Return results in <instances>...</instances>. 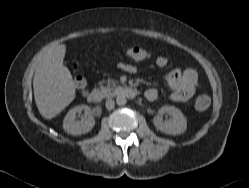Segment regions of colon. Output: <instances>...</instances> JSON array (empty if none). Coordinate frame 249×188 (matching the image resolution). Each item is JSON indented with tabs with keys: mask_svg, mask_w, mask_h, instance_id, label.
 I'll return each mask as SVG.
<instances>
[{
	"mask_svg": "<svg viewBox=\"0 0 249 188\" xmlns=\"http://www.w3.org/2000/svg\"><path fill=\"white\" fill-rule=\"evenodd\" d=\"M131 57L135 59H146L150 57V53L139 47H133L127 52ZM76 69V67H74ZM74 85L78 89H84L86 86V81L81 75H77L74 79ZM210 106V98L208 96L202 95L197 98L195 102V107L197 110L204 111Z\"/></svg>",
	"mask_w": 249,
	"mask_h": 188,
	"instance_id": "obj_1",
	"label": "colon"
}]
</instances>
